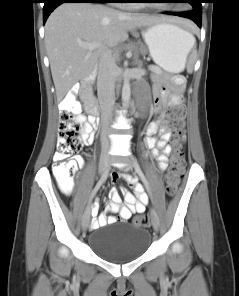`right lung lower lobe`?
<instances>
[{"instance_id":"1","label":"right lung lower lobe","mask_w":239,"mask_h":296,"mask_svg":"<svg viewBox=\"0 0 239 296\" xmlns=\"http://www.w3.org/2000/svg\"><path fill=\"white\" fill-rule=\"evenodd\" d=\"M109 0H44L43 23L45 24L50 13L62 3H108Z\"/></svg>"}]
</instances>
